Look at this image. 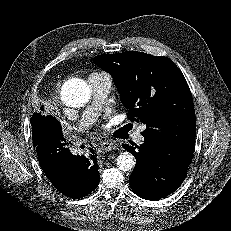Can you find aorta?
<instances>
[{
	"mask_svg": "<svg viewBox=\"0 0 231 231\" xmlns=\"http://www.w3.org/2000/svg\"><path fill=\"white\" fill-rule=\"evenodd\" d=\"M91 90L86 81L78 78L67 80L61 88V100L69 107L78 108L90 100ZM117 167L122 171H130L135 167V158L132 154L124 152L116 159Z\"/></svg>",
	"mask_w": 231,
	"mask_h": 231,
	"instance_id": "762f6f07",
	"label": "aorta"
}]
</instances>
